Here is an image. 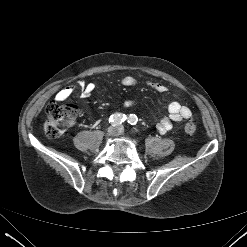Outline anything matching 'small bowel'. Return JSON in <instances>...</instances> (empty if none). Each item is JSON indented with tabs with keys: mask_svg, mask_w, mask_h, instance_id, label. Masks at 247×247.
I'll use <instances>...</instances> for the list:
<instances>
[{
	"mask_svg": "<svg viewBox=\"0 0 247 247\" xmlns=\"http://www.w3.org/2000/svg\"><path fill=\"white\" fill-rule=\"evenodd\" d=\"M122 85L126 87L135 86L137 84L136 79L133 76L127 75L121 79ZM149 87L154 89L159 93H165L168 87L163 82H148ZM78 88L81 92L83 98H88L95 90V85L93 83H86L84 81L78 82L77 86H66L58 91L55 96V100L62 102L67 100L71 94ZM134 104L132 100H126L124 102V107L129 108ZM168 116H164L160 119L157 124L159 132L166 133L171 130L173 123L180 122L185 119L192 117V111L189 107L180 104L178 101H172L168 104Z\"/></svg>",
	"mask_w": 247,
	"mask_h": 247,
	"instance_id": "c3829d8e",
	"label": "small bowel"
}]
</instances>
